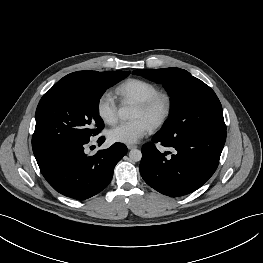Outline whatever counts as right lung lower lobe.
I'll use <instances>...</instances> for the list:
<instances>
[{"label": "right lung lower lobe", "instance_id": "98d812e1", "mask_svg": "<svg viewBox=\"0 0 263 263\" xmlns=\"http://www.w3.org/2000/svg\"><path fill=\"white\" fill-rule=\"evenodd\" d=\"M90 140V139H89ZM89 140L66 142L35 155L42 175L59 193L73 199H87L111 181L115 165L127 153L122 143L88 156ZM104 141V137L99 138Z\"/></svg>", "mask_w": 263, "mask_h": 263}]
</instances>
